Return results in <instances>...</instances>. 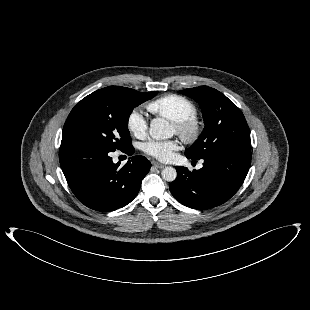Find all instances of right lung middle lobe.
<instances>
[{
	"mask_svg": "<svg viewBox=\"0 0 310 310\" xmlns=\"http://www.w3.org/2000/svg\"><path fill=\"white\" fill-rule=\"evenodd\" d=\"M158 92L141 93L120 86L97 90L78 102L70 112L62 133L61 146L97 145L112 150L131 146L128 119L134 107Z\"/></svg>",
	"mask_w": 310,
	"mask_h": 310,
	"instance_id": "1",
	"label": "right lung middle lobe"
}]
</instances>
